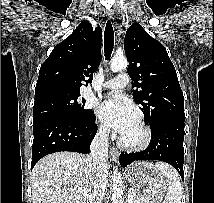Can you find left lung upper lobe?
<instances>
[{"label":"left lung upper lobe","mask_w":214,"mask_h":203,"mask_svg":"<svg viewBox=\"0 0 214 203\" xmlns=\"http://www.w3.org/2000/svg\"><path fill=\"white\" fill-rule=\"evenodd\" d=\"M124 50L129 60L127 72L137 88L134 101L150 128L163 119H184L183 92L165 47L134 23L126 32Z\"/></svg>","instance_id":"obj_1"}]
</instances>
